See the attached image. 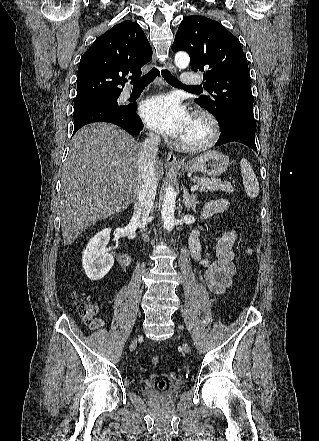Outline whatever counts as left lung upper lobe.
<instances>
[{
  "label": "left lung upper lobe",
  "instance_id": "1",
  "mask_svg": "<svg viewBox=\"0 0 319 441\" xmlns=\"http://www.w3.org/2000/svg\"><path fill=\"white\" fill-rule=\"evenodd\" d=\"M190 56L193 71H204V89L210 96L195 99L212 113L220 128L239 119L255 123L250 75L240 41L222 24L203 16H188L180 23L172 45Z\"/></svg>",
  "mask_w": 319,
  "mask_h": 441
}]
</instances>
